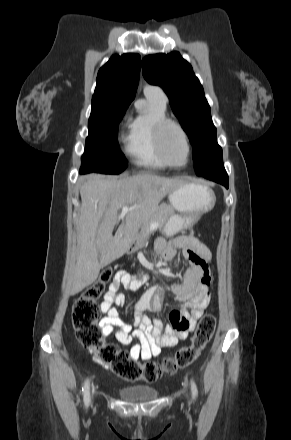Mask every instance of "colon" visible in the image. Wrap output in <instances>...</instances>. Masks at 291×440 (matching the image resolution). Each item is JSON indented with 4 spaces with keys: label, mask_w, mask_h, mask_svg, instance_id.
Wrapping results in <instances>:
<instances>
[{
    "label": "colon",
    "mask_w": 291,
    "mask_h": 440,
    "mask_svg": "<svg viewBox=\"0 0 291 440\" xmlns=\"http://www.w3.org/2000/svg\"><path fill=\"white\" fill-rule=\"evenodd\" d=\"M113 270L104 268L97 281L88 286L77 298L72 308V325L77 339L95 355L96 359L107 364L110 369L125 381L155 382L163 374H171L179 368L192 364L200 355L214 334L216 318L213 313L205 314L198 323L191 343L173 357H167L159 366L155 363L139 364L115 344L106 343L102 338L101 327L98 325L99 308L97 300L102 296L106 284L112 279ZM176 325L177 319L170 318ZM183 323H188L183 320Z\"/></svg>",
    "instance_id": "colon-1"
}]
</instances>
